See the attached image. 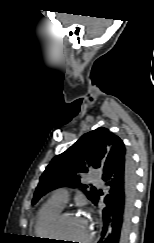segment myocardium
Listing matches in <instances>:
<instances>
[{"mask_svg":"<svg viewBox=\"0 0 154 243\" xmlns=\"http://www.w3.org/2000/svg\"><path fill=\"white\" fill-rule=\"evenodd\" d=\"M74 214H75L74 211L64 210V211H61L54 218L53 223H52V235H53L54 239L60 240L62 238L60 236V224L65 217H68V216H71ZM94 235H95L94 225L91 224V232H90L89 236L84 241H82V243H91V241L94 238Z\"/></svg>","mask_w":154,"mask_h":243,"instance_id":"obj_1","label":"myocardium"}]
</instances>
